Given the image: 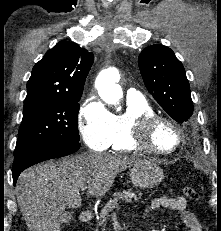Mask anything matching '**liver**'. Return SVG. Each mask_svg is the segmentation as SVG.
Returning a JSON list of instances; mask_svg holds the SVG:
<instances>
[{
  "label": "liver",
  "mask_w": 221,
  "mask_h": 231,
  "mask_svg": "<svg viewBox=\"0 0 221 231\" xmlns=\"http://www.w3.org/2000/svg\"><path fill=\"white\" fill-rule=\"evenodd\" d=\"M141 160L121 154L84 153L59 162H45L23 171L17 181V202L30 231H61L66 207L82 204L81 187L101 197L117 174Z\"/></svg>",
  "instance_id": "1"
}]
</instances>
